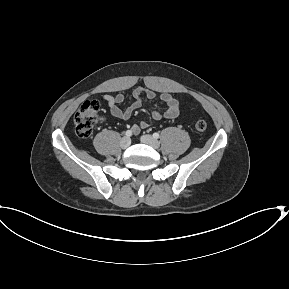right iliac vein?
<instances>
[{
    "mask_svg": "<svg viewBox=\"0 0 289 289\" xmlns=\"http://www.w3.org/2000/svg\"><path fill=\"white\" fill-rule=\"evenodd\" d=\"M130 144H131V140L128 137H123L120 141V147L122 149L128 148L130 146Z\"/></svg>",
    "mask_w": 289,
    "mask_h": 289,
    "instance_id": "1",
    "label": "right iliac vein"
}]
</instances>
